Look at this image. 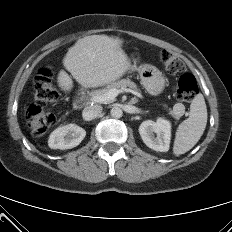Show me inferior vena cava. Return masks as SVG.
Returning a JSON list of instances; mask_svg holds the SVG:
<instances>
[{"instance_id": "1", "label": "inferior vena cava", "mask_w": 232, "mask_h": 232, "mask_svg": "<svg viewBox=\"0 0 232 232\" xmlns=\"http://www.w3.org/2000/svg\"><path fill=\"white\" fill-rule=\"evenodd\" d=\"M101 112L102 106L100 105L88 106L83 110L82 116L84 120L90 121L98 117L101 114Z\"/></svg>"}]
</instances>
